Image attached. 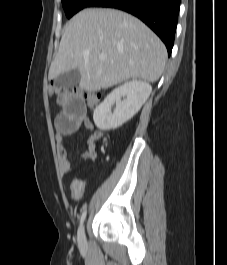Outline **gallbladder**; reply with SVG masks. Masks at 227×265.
Returning a JSON list of instances; mask_svg holds the SVG:
<instances>
[{"mask_svg":"<svg viewBox=\"0 0 227 265\" xmlns=\"http://www.w3.org/2000/svg\"><path fill=\"white\" fill-rule=\"evenodd\" d=\"M81 75L78 69L65 72L55 78L56 86L60 88H71L80 82Z\"/></svg>","mask_w":227,"mask_h":265,"instance_id":"bac80fb5","label":"gallbladder"}]
</instances>
